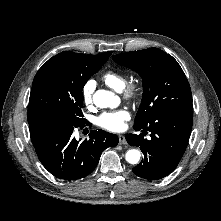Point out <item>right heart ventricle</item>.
Segmentation results:
<instances>
[{
    "mask_svg": "<svg viewBox=\"0 0 221 221\" xmlns=\"http://www.w3.org/2000/svg\"><path fill=\"white\" fill-rule=\"evenodd\" d=\"M102 80L108 85L110 88L116 91H122L126 86V79L121 74L108 71L102 76Z\"/></svg>",
    "mask_w": 221,
    "mask_h": 221,
    "instance_id": "1",
    "label": "right heart ventricle"
}]
</instances>
